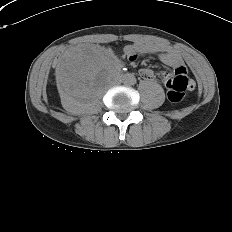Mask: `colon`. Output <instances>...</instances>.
Here are the masks:
<instances>
[{"mask_svg":"<svg viewBox=\"0 0 232 232\" xmlns=\"http://www.w3.org/2000/svg\"><path fill=\"white\" fill-rule=\"evenodd\" d=\"M164 83L168 88V97L173 102L181 101L185 91L190 88L189 78L183 74L168 75Z\"/></svg>","mask_w":232,"mask_h":232,"instance_id":"1","label":"colon"}]
</instances>
